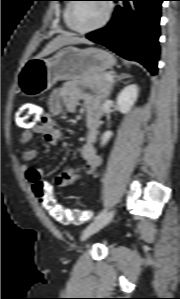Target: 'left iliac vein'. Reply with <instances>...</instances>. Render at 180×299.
Listing matches in <instances>:
<instances>
[{
  "mask_svg": "<svg viewBox=\"0 0 180 299\" xmlns=\"http://www.w3.org/2000/svg\"><path fill=\"white\" fill-rule=\"evenodd\" d=\"M114 211L106 212L102 217L92 222L82 233V240L87 239L92 234L105 227L113 218Z\"/></svg>",
  "mask_w": 180,
  "mask_h": 299,
  "instance_id": "4c4485c4",
  "label": "left iliac vein"
}]
</instances>
